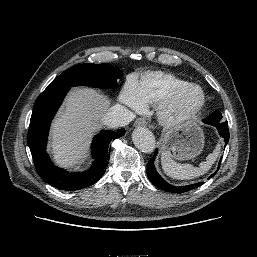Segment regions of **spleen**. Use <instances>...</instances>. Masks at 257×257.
Segmentation results:
<instances>
[{
    "label": "spleen",
    "mask_w": 257,
    "mask_h": 257,
    "mask_svg": "<svg viewBox=\"0 0 257 257\" xmlns=\"http://www.w3.org/2000/svg\"><path fill=\"white\" fill-rule=\"evenodd\" d=\"M220 154V144L206 157V161L200 163L199 167L191 164H181L173 160L168 151H163L161 164L163 171L173 179L188 180L205 174L214 164Z\"/></svg>",
    "instance_id": "1"
}]
</instances>
